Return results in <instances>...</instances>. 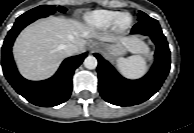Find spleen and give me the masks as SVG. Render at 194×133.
<instances>
[{"label": "spleen", "mask_w": 194, "mask_h": 133, "mask_svg": "<svg viewBox=\"0 0 194 133\" xmlns=\"http://www.w3.org/2000/svg\"><path fill=\"white\" fill-rule=\"evenodd\" d=\"M117 66L120 72L129 79L140 78L147 71L146 60L142 55H135L129 58H119Z\"/></svg>", "instance_id": "1"}]
</instances>
